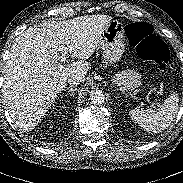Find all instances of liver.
Wrapping results in <instances>:
<instances>
[{"label": "liver", "mask_w": 183, "mask_h": 183, "mask_svg": "<svg viewBox=\"0 0 183 183\" xmlns=\"http://www.w3.org/2000/svg\"><path fill=\"white\" fill-rule=\"evenodd\" d=\"M111 21L109 15L46 21L16 37L5 63L2 93L12 120L21 130L31 131L37 126L70 75L80 74L84 81L89 69L86 60ZM60 45L79 61L59 63Z\"/></svg>", "instance_id": "obj_1"}]
</instances>
